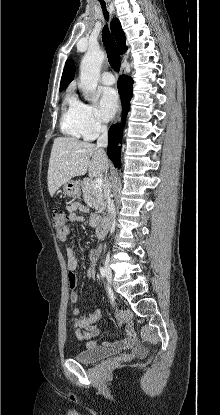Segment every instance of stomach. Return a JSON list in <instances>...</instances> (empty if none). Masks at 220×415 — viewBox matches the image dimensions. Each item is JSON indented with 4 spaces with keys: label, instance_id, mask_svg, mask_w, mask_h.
<instances>
[{
    "label": "stomach",
    "instance_id": "obj_1",
    "mask_svg": "<svg viewBox=\"0 0 220 415\" xmlns=\"http://www.w3.org/2000/svg\"><path fill=\"white\" fill-rule=\"evenodd\" d=\"M81 183L79 181L70 180L64 184V193L69 197L78 198L81 195Z\"/></svg>",
    "mask_w": 220,
    "mask_h": 415
}]
</instances>
